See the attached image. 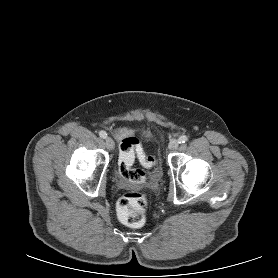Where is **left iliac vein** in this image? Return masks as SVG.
I'll return each instance as SVG.
<instances>
[{
	"mask_svg": "<svg viewBox=\"0 0 278 278\" xmlns=\"http://www.w3.org/2000/svg\"><path fill=\"white\" fill-rule=\"evenodd\" d=\"M179 146V141L178 140H172L169 144V149L170 150H175Z\"/></svg>",
	"mask_w": 278,
	"mask_h": 278,
	"instance_id": "1",
	"label": "left iliac vein"
}]
</instances>
